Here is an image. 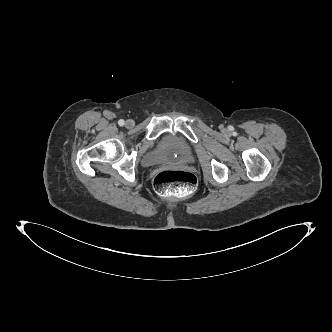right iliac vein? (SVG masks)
Returning <instances> with one entry per match:
<instances>
[{
  "instance_id": "right-iliac-vein-1",
  "label": "right iliac vein",
  "mask_w": 332,
  "mask_h": 332,
  "mask_svg": "<svg viewBox=\"0 0 332 332\" xmlns=\"http://www.w3.org/2000/svg\"><path fill=\"white\" fill-rule=\"evenodd\" d=\"M125 125H126L127 128H132L134 126V121L133 120H127Z\"/></svg>"
}]
</instances>
